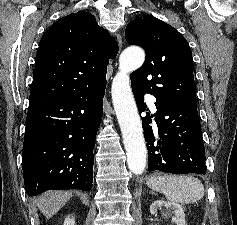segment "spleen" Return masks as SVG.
Listing matches in <instances>:
<instances>
[{"instance_id": "3e777b00", "label": "spleen", "mask_w": 237, "mask_h": 225, "mask_svg": "<svg viewBox=\"0 0 237 225\" xmlns=\"http://www.w3.org/2000/svg\"><path fill=\"white\" fill-rule=\"evenodd\" d=\"M148 186L165 195L167 200L181 204L196 203L204 196L200 180L190 175H152Z\"/></svg>"}]
</instances>
